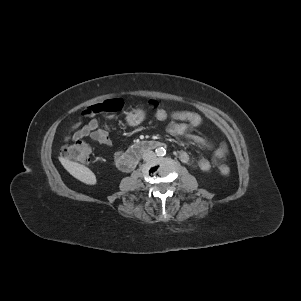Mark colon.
Wrapping results in <instances>:
<instances>
[{"label": "colon", "instance_id": "obj_1", "mask_svg": "<svg viewBox=\"0 0 301 301\" xmlns=\"http://www.w3.org/2000/svg\"><path fill=\"white\" fill-rule=\"evenodd\" d=\"M148 104L155 110L160 106L159 103L153 99L150 100ZM123 105L124 101L120 98L105 100L83 110L80 117L87 118L98 113L117 112ZM172 115L174 118L181 119L183 122H189L193 126H200L202 122V117L194 111L174 110ZM61 153L66 159L79 163H89L91 161L92 149L88 144L76 141L71 145L65 146ZM219 171L221 174L226 175L230 172V168L228 165L222 164L219 166Z\"/></svg>", "mask_w": 301, "mask_h": 301}]
</instances>
